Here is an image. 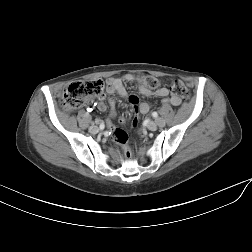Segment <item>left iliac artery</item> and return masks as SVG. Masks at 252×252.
I'll return each mask as SVG.
<instances>
[{
  "label": "left iliac artery",
  "mask_w": 252,
  "mask_h": 252,
  "mask_svg": "<svg viewBox=\"0 0 252 252\" xmlns=\"http://www.w3.org/2000/svg\"><path fill=\"white\" fill-rule=\"evenodd\" d=\"M152 116L156 118L158 116L157 112H153Z\"/></svg>",
  "instance_id": "1"
}]
</instances>
